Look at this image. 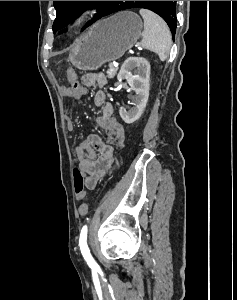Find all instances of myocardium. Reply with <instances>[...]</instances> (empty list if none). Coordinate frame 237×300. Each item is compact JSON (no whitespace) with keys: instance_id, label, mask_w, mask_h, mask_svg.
I'll use <instances>...</instances> for the list:
<instances>
[{"instance_id":"f54148a6","label":"myocardium","mask_w":237,"mask_h":300,"mask_svg":"<svg viewBox=\"0 0 237 300\" xmlns=\"http://www.w3.org/2000/svg\"><path fill=\"white\" fill-rule=\"evenodd\" d=\"M89 14H90V11L88 9L83 10L82 12L77 14L71 23V28L79 27L84 22V20H86V18Z\"/></svg>"}]
</instances>
